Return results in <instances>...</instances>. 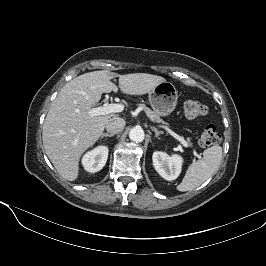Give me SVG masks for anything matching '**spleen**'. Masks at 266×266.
I'll return each instance as SVG.
<instances>
[{"label": "spleen", "instance_id": "spleen-1", "mask_svg": "<svg viewBox=\"0 0 266 266\" xmlns=\"http://www.w3.org/2000/svg\"><path fill=\"white\" fill-rule=\"evenodd\" d=\"M221 160V146L214 145L204 150L202 159L188 167L182 182L177 186V190L181 192L191 191L203 184L218 170Z\"/></svg>", "mask_w": 266, "mask_h": 266}]
</instances>
